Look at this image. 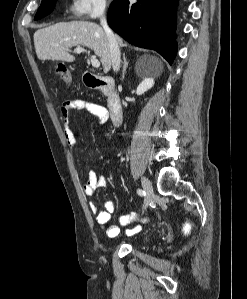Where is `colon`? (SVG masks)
<instances>
[{
    "instance_id": "colon-1",
    "label": "colon",
    "mask_w": 247,
    "mask_h": 299,
    "mask_svg": "<svg viewBox=\"0 0 247 299\" xmlns=\"http://www.w3.org/2000/svg\"><path fill=\"white\" fill-rule=\"evenodd\" d=\"M56 73H57V76L65 83V84H69L70 81H71V77H70V74L68 72V70L59 65L56 69Z\"/></svg>"
}]
</instances>
